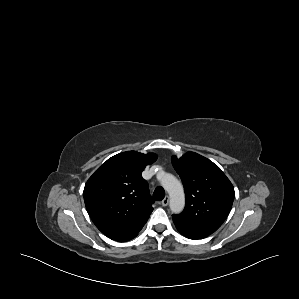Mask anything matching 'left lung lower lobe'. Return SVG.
<instances>
[{
	"mask_svg": "<svg viewBox=\"0 0 299 299\" xmlns=\"http://www.w3.org/2000/svg\"><path fill=\"white\" fill-rule=\"evenodd\" d=\"M173 222L177 228V230L182 234L184 235L185 237L189 238V239H203V238H206L207 234H204V233H200V232H192V231H189L188 229H186L182 223H180L176 218L173 217Z\"/></svg>",
	"mask_w": 299,
	"mask_h": 299,
	"instance_id": "obj_1",
	"label": "left lung lower lobe"
}]
</instances>
